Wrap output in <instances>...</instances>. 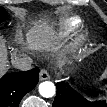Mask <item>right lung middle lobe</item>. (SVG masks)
Returning <instances> with one entry per match:
<instances>
[{
    "mask_svg": "<svg viewBox=\"0 0 107 107\" xmlns=\"http://www.w3.org/2000/svg\"><path fill=\"white\" fill-rule=\"evenodd\" d=\"M7 17V12L4 10V8H0V22H2Z\"/></svg>",
    "mask_w": 107,
    "mask_h": 107,
    "instance_id": "obj_1",
    "label": "right lung middle lobe"
}]
</instances>
